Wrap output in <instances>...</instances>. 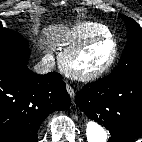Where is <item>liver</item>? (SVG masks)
<instances>
[{
	"mask_svg": "<svg viewBox=\"0 0 142 142\" xmlns=\"http://www.w3.org/2000/svg\"><path fill=\"white\" fill-rule=\"evenodd\" d=\"M64 27L63 26H50L48 28L49 32H54V33H51V37H52V42H48L49 46L48 48L52 49L54 48V44L58 43V39L61 37V34L58 33L57 35H55V32H60L61 29H63Z\"/></svg>",
	"mask_w": 142,
	"mask_h": 142,
	"instance_id": "obj_1",
	"label": "liver"
}]
</instances>
